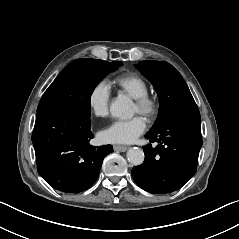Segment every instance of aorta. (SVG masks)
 Returning a JSON list of instances; mask_svg holds the SVG:
<instances>
[{
	"label": "aorta",
	"instance_id": "1",
	"mask_svg": "<svg viewBox=\"0 0 239 239\" xmlns=\"http://www.w3.org/2000/svg\"><path fill=\"white\" fill-rule=\"evenodd\" d=\"M110 113L113 117L125 120L134 115V103L125 95L118 96L110 106ZM126 156L134 165H140L144 161V152L139 148L128 149Z\"/></svg>",
	"mask_w": 239,
	"mask_h": 239
}]
</instances>
